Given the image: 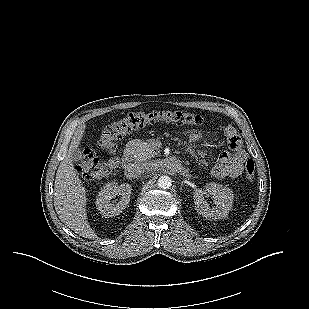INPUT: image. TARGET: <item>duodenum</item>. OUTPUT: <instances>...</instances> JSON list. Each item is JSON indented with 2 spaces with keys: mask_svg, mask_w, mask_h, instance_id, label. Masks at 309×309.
I'll list each match as a JSON object with an SVG mask.
<instances>
[{
  "mask_svg": "<svg viewBox=\"0 0 309 309\" xmlns=\"http://www.w3.org/2000/svg\"><path fill=\"white\" fill-rule=\"evenodd\" d=\"M134 160V153L132 150H127L122 157V165L125 169H129Z\"/></svg>",
  "mask_w": 309,
  "mask_h": 309,
  "instance_id": "obj_1",
  "label": "duodenum"
}]
</instances>
